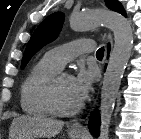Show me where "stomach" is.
I'll return each mask as SVG.
<instances>
[{"instance_id": "1", "label": "stomach", "mask_w": 141, "mask_h": 139, "mask_svg": "<svg viewBox=\"0 0 141 139\" xmlns=\"http://www.w3.org/2000/svg\"><path fill=\"white\" fill-rule=\"evenodd\" d=\"M69 136L71 139H79L80 133L69 132Z\"/></svg>"}]
</instances>
